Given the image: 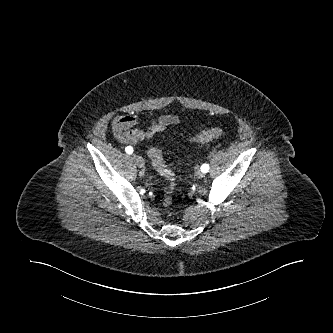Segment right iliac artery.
<instances>
[{
  "instance_id": "right-iliac-artery-1",
  "label": "right iliac artery",
  "mask_w": 333,
  "mask_h": 333,
  "mask_svg": "<svg viewBox=\"0 0 333 333\" xmlns=\"http://www.w3.org/2000/svg\"><path fill=\"white\" fill-rule=\"evenodd\" d=\"M125 151H126V153H128V154H132L133 153V148L131 147V146H127L126 148H125Z\"/></svg>"
}]
</instances>
